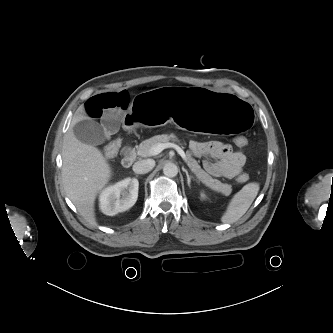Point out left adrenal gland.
Wrapping results in <instances>:
<instances>
[{
	"mask_svg": "<svg viewBox=\"0 0 333 333\" xmlns=\"http://www.w3.org/2000/svg\"><path fill=\"white\" fill-rule=\"evenodd\" d=\"M183 171L185 172L186 176H187V184L189 187H191V180L195 181L198 183V180L195 179L193 176L189 175L188 171L186 169L183 168Z\"/></svg>",
	"mask_w": 333,
	"mask_h": 333,
	"instance_id": "obj_1",
	"label": "left adrenal gland"
}]
</instances>
